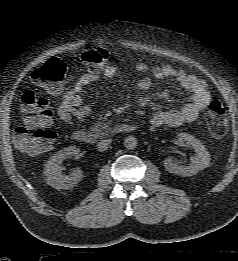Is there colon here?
Here are the masks:
<instances>
[{"mask_svg":"<svg viewBox=\"0 0 238 261\" xmlns=\"http://www.w3.org/2000/svg\"><path fill=\"white\" fill-rule=\"evenodd\" d=\"M110 60V54L103 48H90L81 55L82 63L92 72L100 71ZM66 74V65L59 58H51L32 73L35 84L58 92ZM24 125L14 130L13 140L23 153L36 155L48 150L57 139L51 128L52 112L46 98L26 91L21 99ZM206 124L213 138H222L228 129V108L220 101L208 105Z\"/></svg>","mask_w":238,"mask_h":261,"instance_id":"5ec220e1","label":"colon"}]
</instances>
